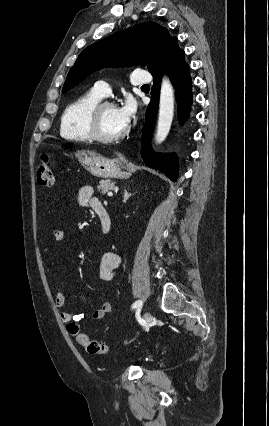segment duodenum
<instances>
[{"mask_svg":"<svg viewBox=\"0 0 269 426\" xmlns=\"http://www.w3.org/2000/svg\"><path fill=\"white\" fill-rule=\"evenodd\" d=\"M95 213L97 217L99 218L102 233L108 234L112 229V219L108 211L102 205L95 209Z\"/></svg>","mask_w":269,"mask_h":426,"instance_id":"410a0bca","label":"duodenum"}]
</instances>
